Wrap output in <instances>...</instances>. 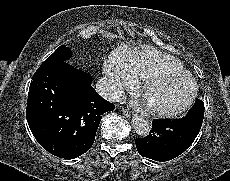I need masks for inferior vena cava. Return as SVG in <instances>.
I'll return each instance as SVG.
<instances>
[{
	"mask_svg": "<svg viewBox=\"0 0 230 181\" xmlns=\"http://www.w3.org/2000/svg\"><path fill=\"white\" fill-rule=\"evenodd\" d=\"M96 91L110 102H119L124 96L122 87L106 77H102L97 81Z\"/></svg>",
	"mask_w": 230,
	"mask_h": 181,
	"instance_id": "1",
	"label": "inferior vena cava"
}]
</instances>
